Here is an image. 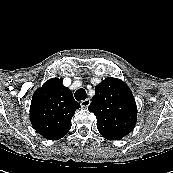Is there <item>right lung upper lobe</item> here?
<instances>
[{"label": "right lung upper lobe", "mask_w": 173, "mask_h": 173, "mask_svg": "<svg viewBox=\"0 0 173 173\" xmlns=\"http://www.w3.org/2000/svg\"><path fill=\"white\" fill-rule=\"evenodd\" d=\"M80 104L62 79L52 78L32 97L30 120L34 129L46 139L58 140L71 128V119Z\"/></svg>", "instance_id": "1"}]
</instances>
